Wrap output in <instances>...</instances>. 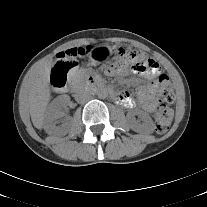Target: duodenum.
I'll return each instance as SVG.
<instances>
[{
    "label": "duodenum",
    "instance_id": "410a0bca",
    "mask_svg": "<svg viewBox=\"0 0 207 207\" xmlns=\"http://www.w3.org/2000/svg\"><path fill=\"white\" fill-rule=\"evenodd\" d=\"M90 90L92 91H100V90H106V87L103 86L100 82H98L95 79H91L89 83ZM115 93H113V96Z\"/></svg>",
    "mask_w": 207,
    "mask_h": 207
}]
</instances>
